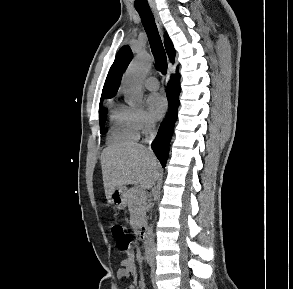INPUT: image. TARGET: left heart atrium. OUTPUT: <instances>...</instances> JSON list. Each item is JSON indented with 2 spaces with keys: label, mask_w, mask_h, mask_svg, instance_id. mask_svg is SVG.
I'll list each match as a JSON object with an SVG mask.
<instances>
[{
  "label": "left heart atrium",
  "mask_w": 293,
  "mask_h": 289,
  "mask_svg": "<svg viewBox=\"0 0 293 289\" xmlns=\"http://www.w3.org/2000/svg\"><path fill=\"white\" fill-rule=\"evenodd\" d=\"M147 106L149 114L153 119H161L167 110L165 98L158 93H153L148 96Z\"/></svg>",
  "instance_id": "1"
}]
</instances>
